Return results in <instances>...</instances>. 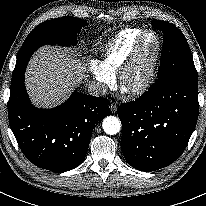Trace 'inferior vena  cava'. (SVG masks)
<instances>
[{"label":"inferior vena cava","mask_w":206,"mask_h":206,"mask_svg":"<svg viewBox=\"0 0 206 206\" xmlns=\"http://www.w3.org/2000/svg\"><path fill=\"white\" fill-rule=\"evenodd\" d=\"M88 93L92 96H103L107 93V86L99 82H91L88 85Z\"/></svg>","instance_id":"inferior-vena-cava-1"}]
</instances>
